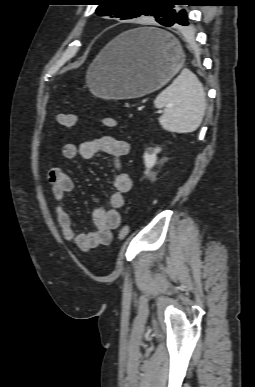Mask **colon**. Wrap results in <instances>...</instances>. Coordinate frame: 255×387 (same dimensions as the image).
Returning <instances> with one entry per match:
<instances>
[{"instance_id":"5ec220e1","label":"colon","mask_w":255,"mask_h":387,"mask_svg":"<svg viewBox=\"0 0 255 387\" xmlns=\"http://www.w3.org/2000/svg\"><path fill=\"white\" fill-rule=\"evenodd\" d=\"M78 117L74 114H66V113H61L58 115V122L67 128L74 127L77 124ZM101 124L107 128H116L118 125V122L116 119L112 117H103L100 120ZM130 226L128 224L123 225L118 233L119 239H125L129 233H130Z\"/></svg>"}]
</instances>
